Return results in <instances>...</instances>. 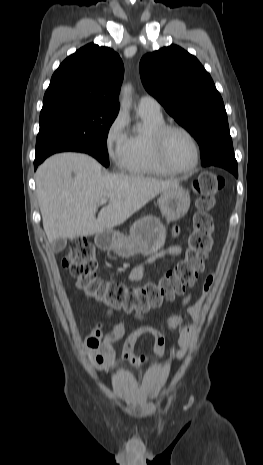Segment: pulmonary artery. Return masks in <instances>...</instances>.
<instances>
[{"label": "pulmonary artery", "mask_w": 263, "mask_h": 465, "mask_svg": "<svg viewBox=\"0 0 263 465\" xmlns=\"http://www.w3.org/2000/svg\"><path fill=\"white\" fill-rule=\"evenodd\" d=\"M139 113L149 114L153 116H161V105L160 103L150 95L142 96L137 105Z\"/></svg>", "instance_id": "obj_1"}]
</instances>
